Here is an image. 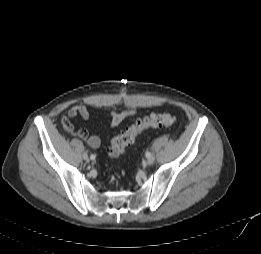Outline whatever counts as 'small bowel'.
I'll list each match as a JSON object with an SVG mask.
<instances>
[{"label": "small bowel", "instance_id": "obj_1", "mask_svg": "<svg viewBox=\"0 0 261 254\" xmlns=\"http://www.w3.org/2000/svg\"><path fill=\"white\" fill-rule=\"evenodd\" d=\"M137 114L136 109H127L120 112H111L108 119V124L112 127H116L119 124H121L125 119L135 116ZM81 117L85 120L89 119L90 117V110L89 108L84 104H76L72 106L68 113L62 117V126L64 130L73 136H76L77 138L86 141L87 144L93 148L96 149L100 146V139L99 137L95 135H90L88 130L85 128L81 129H75L72 119L76 117Z\"/></svg>", "mask_w": 261, "mask_h": 254}]
</instances>
